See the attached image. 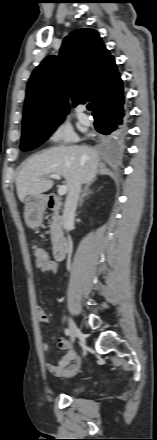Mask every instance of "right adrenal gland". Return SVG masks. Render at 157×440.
Returning <instances> with one entry per match:
<instances>
[{"instance_id": "2a0ac1e0", "label": "right adrenal gland", "mask_w": 157, "mask_h": 440, "mask_svg": "<svg viewBox=\"0 0 157 440\" xmlns=\"http://www.w3.org/2000/svg\"><path fill=\"white\" fill-rule=\"evenodd\" d=\"M90 186H91V183H88V184H86V185L84 186V188H83V190H82V194H81V196H80V198H79L78 207H81V206H82V204H83V199H84L85 196H88V195H90V194L93 193V191L90 190Z\"/></svg>"}]
</instances>
